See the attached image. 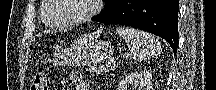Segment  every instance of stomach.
Listing matches in <instances>:
<instances>
[{"instance_id": "1", "label": "stomach", "mask_w": 216, "mask_h": 90, "mask_svg": "<svg viewBox=\"0 0 216 90\" xmlns=\"http://www.w3.org/2000/svg\"><path fill=\"white\" fill-rule=\"evenodd\" d=\"M113 54V47L106 41H92L86 45L70 50L56 60L61 64L94 65L104 61Z\"/></svg>"}]
</instances>
